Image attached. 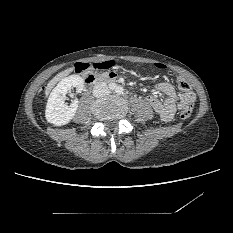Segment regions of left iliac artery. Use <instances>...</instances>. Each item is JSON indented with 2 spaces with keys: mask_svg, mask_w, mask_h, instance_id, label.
Listing matches in <instances>:
<instances>
[{
  "mask_svg": "<svg viewBox=\"0 0 233 233\" xmlns=\"http://www.w3.org/2000/svg\"><path fill=\"white\" fill-rule=\"evenodd\" d=\"M116 93H117L118 95H123V94H124V89H123V87L118 86V87L116 88Z\"/></svg>",
  "mask_w": 233,
  "mask_h": 233,
  "instance_id": "44dca946",
  "label": "left iliac artery"
}]
</instances>
